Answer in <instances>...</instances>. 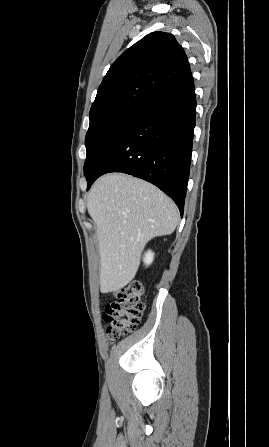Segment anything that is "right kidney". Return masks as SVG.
I'll use <instances>...</instances> for the list:
<instances>
[{
    "label": "right kidney",
    "mask_w": 269,
    "mask_h": 447,
    "mask_svg": "<svg viewBox=\"0 0 269 447\" xmlns=\"http://www.w3.org/2000/svg\"><path fill=\"white\" fill-rule=\"evenodd\" d=\"M153 259H154L153 251H147V253H145V255H144L143 261H144V263H146V265H150V263H152Z\"/></svg>",
    "instance_id": "1"
}]
</instances>
